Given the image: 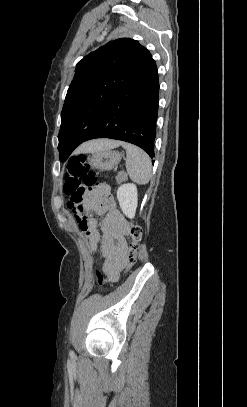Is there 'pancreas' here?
Listing matches in <instances>:
<instances>
[{"instance_id":"1","label":"pancreas","mask_w":247,"mask_h":407,"mask_svg":"<svg viewBox=\"0 0 247 407\" xmlns=\"http://www.w3.org/2000/svg\"><path fill=\"white\" fill-rule=\"evenodd\" d=\"M127 179V175L124 172H120L117 176H116V181L118 183L124 181Z\"/></svg>"}]
</instances>
